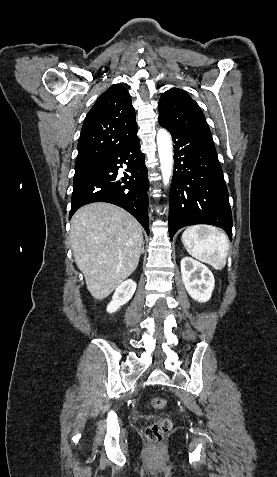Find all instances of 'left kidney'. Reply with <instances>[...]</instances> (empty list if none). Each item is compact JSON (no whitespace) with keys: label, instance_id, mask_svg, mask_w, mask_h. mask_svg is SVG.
<instances>
[{"label":"left kidney","instance_id":"left-kidney-1","mask_svg":"<svg viewBox=\"0 0 277 477\" xmlns=\"http://www.w3.org/2000/svg\"><path fill=\"white\" fill-rule=\"evenodd\" d=\"M181 274L188 294L200 303L207 302L214 289V276L202 263L191 257L181 260Z\"/></svg>","mask_w":277,"mask_h":477}]
</instances>
